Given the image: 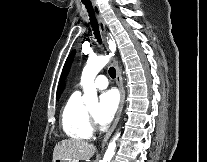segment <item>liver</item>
<instances>
[{
    "instance_id": "6515ba94",
    "label": "liver",
    "mask_w": 207,
    "mask_h": 162,
    "mask_svg": "<svg viewBox=\"0 0 207 162\" xmlns=\"http://www.w3.org/2000/svg\"><path fill=\"white\" fill-rule=\"evenodd\" d=\"M96 147L87 141L78 139H65L57 143L53 151V162L55 160H89L95 153Z\"/></svg>"
}]
</instances>
